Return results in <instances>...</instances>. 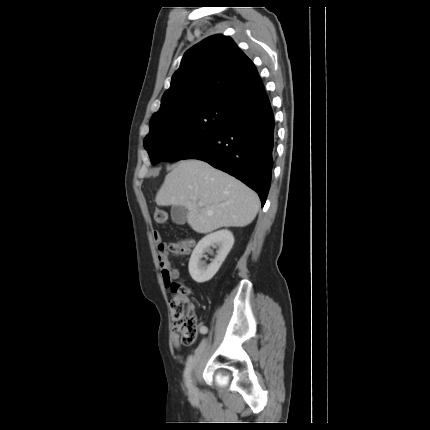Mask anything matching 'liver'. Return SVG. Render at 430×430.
Here are the masks:
<instances>
[{
  "mask_svg": "<svg viewBox=\"0 0 430 430\" xmlns=\"http://www.w3.org/2000/svg\"><path fill=\"white\" fill-rule=\"evenodd\" d=\"M155 201L158 206L187 208L188 224L198 233L247 226L260 206L258 195L241 181L198 159L178 162L166 175Z\"/></svg>",
  "mask_w": 430,
  "mask_h": 430,
  "instance_id": "obj_1",
  "label": "liver"
}]
</instances>
